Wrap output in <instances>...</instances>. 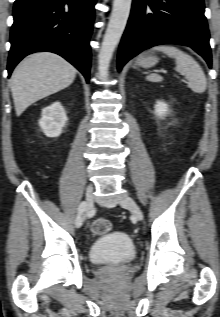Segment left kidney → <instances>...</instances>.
I'll return each instance as SVG.
<instances>
[{
  "instance_id": "obj_1",
  "label": "left kidney",
  "mask_w": 220,
  "mask_h": 317,
  "mask_svg": "<svg viewBox=\"0 0 220 317\" xmlns=\"http://www.w3.org/2000/svg\"><path fill=\"white\" fill-rule=\"evenodd\" d=\"M167 112L168 105L165 102L158 100L155 104V115L159 118H163Z\"/></svg>"
}]
</instances>
